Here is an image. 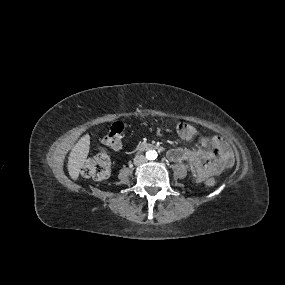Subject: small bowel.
Returning <instances> with one entry per match:
<instances>
[{
	"label": "small bowel",
	"instance_id": "obj_1",
	"mask_svg": "<svg viewBox=\"0 0 285 285\" xmlns=\"http://www.w3.org/2000/svg\"><path fill=\"white\" fill-rule=\"evenodd\" d=\"M201 149L175 148L169 151L168 158L174 162L189 161L198 180L207 175H218L233 166V152L223 138L202 137Z\"/></svg>",
	"mask_w": 285,
	"mask_h": 285
}]
</instances>
